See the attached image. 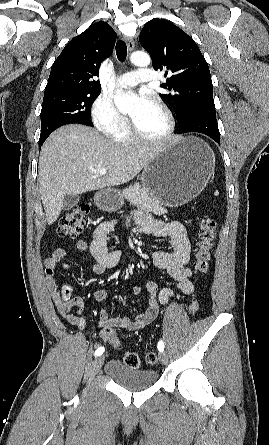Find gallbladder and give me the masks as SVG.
I'll use <instances>...</instances> for the list:
<instances>
[{"label": "gallbladder", "instance_id": "gallbladder-1", "mask_svg": "<svg viewBox=\"0 0 269 445\" xmlns=\"http://www.w3.org/2000/svg\"><path fill=\"white\" fill-rule=\"evenodd\" d=\"M80 200L79 195H65L63 199V210L69 211L75 207Z\"/></svg>", "mask_w": 269, "mask_h": 445}]
</instances>
